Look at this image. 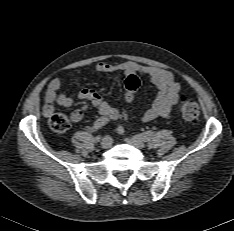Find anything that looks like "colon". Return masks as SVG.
I'll use <instances>...</instances> for the list:
<instances>
[{"mask_svg": "<svg viewBox=\"0 0 234 231\" xmlns=\"http://www.w3.org/2000/svg\"><path fill=\"white\" fill-rule=\"evenodd\" d=\"M140 85L141 79L138 75L130 74L127 76L124 84L125 99L127 102H131L134 99L136 91ZM179 101L182 116L186 120H195L199 117L200 108L194 99L186 95H181ZM122 117L125 118V114H123ZM49 125L53 131L57 133H63L70 128L71 122L65 114L54 113L49 117Z\"/></svg>", "mask_w": 234, "mask_h": 231, "instance_id": "1", "label": "colon"}]
</instances>
